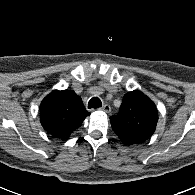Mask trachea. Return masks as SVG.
<instances>
[{
	"label": "trachea",
	"mask_w": 195,
	"mask_h": 195,
	"mask_svg": "<svg viewBox=\"0 0 195 195\" xmlns=\"http://www.w3.org/2000/svg\"><path fill=\"white\" fill-rule=\"evenodd\" d=\"M102 106V102L98 97H93L88 102V108H99Z\"/></svg>",
	"instance_id": "trachea-1"
}]
</instances>
